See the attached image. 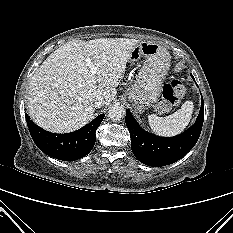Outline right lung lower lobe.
Returning a JSON list of instances; mask_svg holds the SVG:
<instances>
[{"label": "right lung lower lobe", "mask_w": 233, "mask_h": 233, "mask_svg": "<svg viewBox=\"0 0 233 233\" xmlns=\"http://www.w3.org/2000/svg\"><path fill=\"white\" fill-rule=\"evenodd\" d=\"M105 114L97 116L93 121L71 133L56 134L45 131L34 124L25 114L31 137L37 147L45 154L63 161H74L86 156L96 141V130Z\"/></svg>", "instance_id": "obj_1"}]
</instances>
